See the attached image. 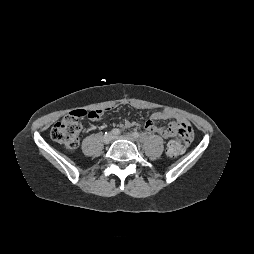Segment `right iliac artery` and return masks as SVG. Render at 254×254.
Returning <instances> with one entry per match:
<instances>
[{
  "label": "right iliac artery",
  "mask_w": 254,
  "mask_h": 254,
  "mask_svg": "<svg viewBox=\"0 0 254 254\" xmlns=\"http://www.w3.org/2000/svg\"><path fill=\"white\" fill-rule=\"evenodd\" d=\"M111 132H112V134H114V135H119V134H120V130L117 129V128L113 129ZM105 134H107V133H105Z\"/></svg>",
  "instance_id": "82829eb1"
}]
</instances>
